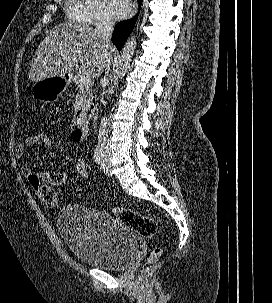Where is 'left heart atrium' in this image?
<instances>
[{
  "label": "left heart atrium",
  "instance_id": "obj_1",
  "mask_svg": "<svg viewBox=\"0 0 272 303\" xmlns=\"http://www.w3.org/2000/svg\"><path fill=\"white\" fill-rule=\"evenodd\" d=\"M111 15L116 19L125 18L131 10V0H106Z\"/></svg>",
  "mask_w": 272,
  "mask_h": 303
}]
</instances>
